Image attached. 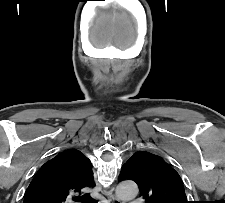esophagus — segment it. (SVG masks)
<instances>
[{
    "instance_id": "34e87169",
    "label": "esophagus",
    "mask_w": 225,
    "mask_h": 203,
    "mask_svg": "<svg viewBox=\"0 0 225 203\" xmlns=\"http://www.w3.org/2000/svg\"><path fill=\"white\" fill-rule=\"evenodd\" d=\"M107 203H120L119 199L111 192H106Z\"/></svg>"
}]
</instances>
